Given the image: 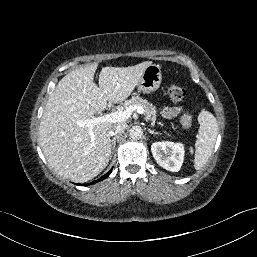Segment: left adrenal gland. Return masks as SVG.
<instances>
[{"label": "left adrenal gland", "instance_id": "a2214340", "mask_svg": "<svg viewBox=\"0 0 257 257\" xmlns=\"http://www.w3.org/2000/svg\"><path fill=\"white\" fill-rule=\"evenodd\" d=\"M148 132H149L150 134H160V133L154 132V131H152V130H150V129H148Z\"/></svg>", "mask_w": 257, "mask_h": 257}]
</instances>
